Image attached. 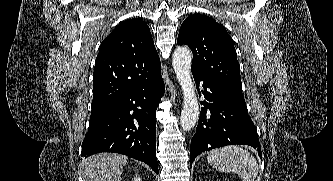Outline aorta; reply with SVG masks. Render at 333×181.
Wrapping results in <instances>:
<instances>
[{
	"instance_id": "obj_1",
	"label": "aorta",
	"mask_w": 333,
	"mask_h": 181,
	"mask_svg": "<svg viewBox=\"0 0 333 181\" xmlns=\"http://www.w3.org/2000/svg\"><path fill=\"white\" fill-rule=\"evenodd\" d=\"M192 55L187 47H178L172 56V65L183 92V109L180 117L181 128L191 130L199 118V105L191 78Z\"/></svg>"
}]
</instances>
